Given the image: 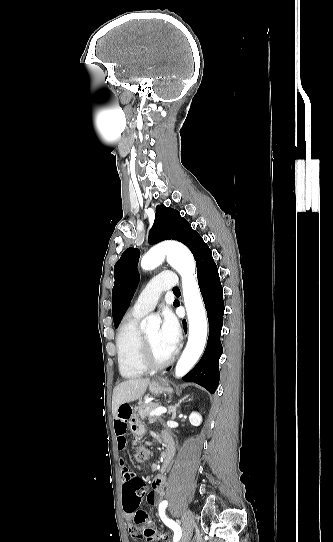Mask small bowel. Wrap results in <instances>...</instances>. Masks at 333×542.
<instances>
[{
    "label": "small bowel",
    "instance_id": "c3829d8e",
    "mask_svg": "<svg viewBox=\"0 0 333 542\" xmlns=\"http://www.w3.org/2000/svg\"><path fill=\"white\" fill-rule=\"evenodd\" d=\"M117 412L118 413L114 420L116 448L119 452L123 453L128 448L127 429H128V424L131 422V418H132V408L128 404L119 405ZM168 448L169 446L167 445V449ZM121 473H122V481H123V487H124V496L130 497L131 492L130 490L126 488V484L130 476L128 475L127 468L123 464L121 466ZM166 482H167V476L164 473H160L154 476L151 482L152 490L148 493V496H147V500L149 504L153 506L160 504V502L162 501L165 495ZM137 516L138 514H134L131 521L128 522V531L132 535V537L135 539L139 538L138 525H144V524H139L137 522ZM124 517L128 519L130 516L126 514ZM163 538H165V534L163 532L157 531V539L153 542H156Z\"/></svg>",
    "mask_w": 333,
    "mask_h": 542
}]
</instances>
